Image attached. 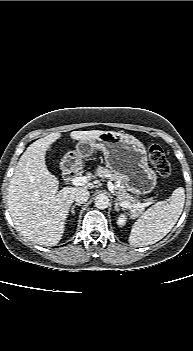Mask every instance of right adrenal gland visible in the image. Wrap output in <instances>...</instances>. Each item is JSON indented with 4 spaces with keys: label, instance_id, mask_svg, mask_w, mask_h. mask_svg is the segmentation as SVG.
I'll list each match as a JSON object with an SVG mask.
<instances>
[{
    "label": "right adrenal gland",
    "instance_id": "1",
    "mask_svg": "<svg viewBox=\"0 0 193 351\" xmlns=\"http://www.w3.org/2000/svg\"><path fill=\"white\" fill-rule=\"evenodd\" d=\"M76 206H81V204L75 203V204L71 207V213H72V214H75L74 209H75Z\"/></svg>",
    "mask_w": 193,
    "mask_h": 351
}]
</instances>
